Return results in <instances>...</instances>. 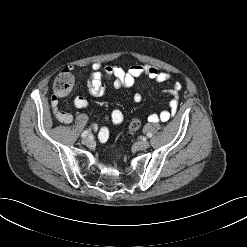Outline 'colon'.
<instances>
[{
    "instance_id": "obj_1",
    "label": "colon",
    "mask_w": 247,
    "mask_h": 247,
    "mask_svg": "<svg viewBox=\"0 0 247 247\" xmlns=\"http://www.w3.org/2000/svg\"><path fill=\"white\" fill-rule=\"evenodd\" d=\"M73 85L72 75L67 70H63L55 79L53 90L55 97L66 96ZM141 122L139 119H133L128 126L129 134H134L140 128Z\"/></svg>"
}]
</instances>
